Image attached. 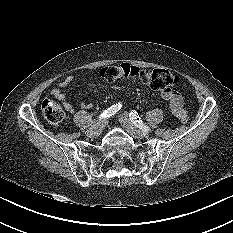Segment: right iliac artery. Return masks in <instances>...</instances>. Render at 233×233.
I'll return each instance as SVG.
<instances>
[{
  "mask_svg": "<svg viewBox=\"0 0 233 233\" xmlns=\"http://www.w3.org/2000/svg\"><path fill=\"white\" fill-rule=\"evenodd\" d=\"M121 107H122L121 103H116L112 105L111 107H109L108 109H106L105 111H103L101 115L99 116V118L103 119V118L111 117L114 114H116L121 109Z\"/></svg>",
  "mask_w": 233,
  "mask_h": 233,
  "instance_id": "82829eb1",
  "label": "right iliac artery"
}]
</instances>
